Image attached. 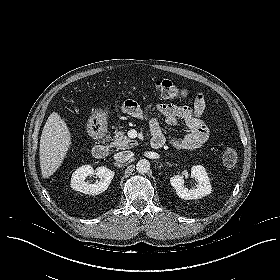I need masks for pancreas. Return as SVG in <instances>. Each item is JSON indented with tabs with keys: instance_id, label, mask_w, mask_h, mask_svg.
I'll list each match as a JSON object with an SVG mask.
<instances>
[{
	"instance_id": "1",
	"label": "pancreas",
	"mask_w": 280,
	"mask_h": 280,
	"mask_svg": "<svg viewBox=\"0 0 280 280\" xmlns=\"http://www.w3.org/2000/svg\"><path fill=\"white\" fill-rule=\"evenodd\" d=\"M111 145L117 149L125 150L136 146L137 142L127 137L124 131H116Z\"/></svg>"
}]
</instances>
